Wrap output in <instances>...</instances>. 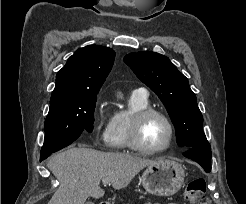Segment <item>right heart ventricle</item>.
Returning <instances> with one entry per match:
<instances>
[{
	"label": "right heart ventricle",
	"mask_w": 246,
	"mask_h": 204,
	"mask_svg": "<svg viewBox=\"0 0 246 204\" xmlns=\"http://www.w3.org/2000/svg\"><path fill=\"white\" fill-rule=\"evenodd\" d=\"M149 107L147 96L132 94L129 100L128 109L116 111L112 117L109 127L107 145L111 149L120 150L130 148L129 128L132 116Z\"/></svg>",
	"instance_id": "1"
}]
</instances>
